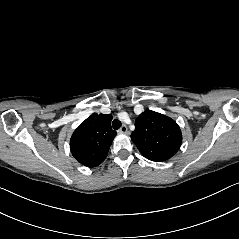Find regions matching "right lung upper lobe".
Listing matches in <instances>:
<instances>
[{
	"label": "right lung upper lobe",
	"mask_w": 239,
	"mask_h": 239,
	"mask_svg": "<svg viewBox=\"0 0 239 239\" xmlns=\"http://www.w3.org/2000/svg\"><path fill=\"white\" fill-rule=\"evenodd\" d=\"M112 118L110 114L93 113L74 131L70 150L78 162L92 168L105 160L117 135L110 125Z\"/></svg>",
	"instance_id": "cb5924a9"
}]
</instances>
